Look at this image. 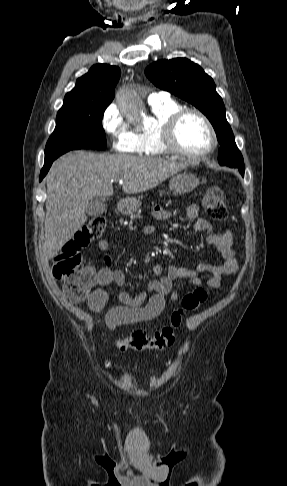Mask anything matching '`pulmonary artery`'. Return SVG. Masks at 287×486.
Instances as JSON below:
<instances>
[{"label": "pulmonary artery", "mask_w": 287, "mask_h": 486, "mask_svg": "<svg viewBox=\"0 0 287 486\" xmlns=\"http://www.w3.org/2000/svg\"><path fill=\"white\" fill-rule=\"evenodd\" d=\"M167 99H170L169 94L167 92H153L148 96L149 103H154L157 101H162Z\"/></svg>", "instance_id": "pulmonary-artery-1"}]
</instances>
